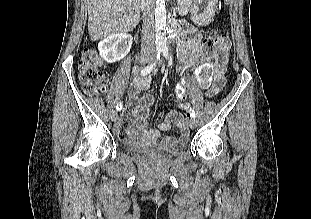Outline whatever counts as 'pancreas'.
Here are the masks:
<instances>
[{"label":"pancreas","instance_id":"obj_1","mask_svg":"<svg viewBox=\"0 0 311 219\" xmlns=\"http://www.w3.org/2000/svg\"><path fill=\"white\" fill-rule=\"evenodd\" d=\"M192 0H179L178 10L187 13L191 9Z\"/></svg>","mask_w":311,"mask_h":219}]
</instances>
